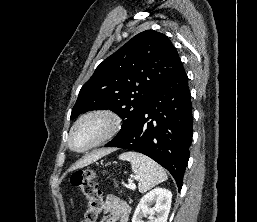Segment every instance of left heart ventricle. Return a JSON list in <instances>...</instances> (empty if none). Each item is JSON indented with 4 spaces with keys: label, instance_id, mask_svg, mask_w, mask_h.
<instances>
[{
    "label": "left heart ventricle",
    "instance_id": "1",
    "mask_svg": "<svg viewBox=\"0 0 257 222\" xmlns=\"http://www.w3.org/2000/svg\"><path fill=\"white\" fill-rule=\"evenodd\" d=\"M105 122L93 118L81 123L74 131L72 145L77 150H82L95 143L105 131Z\"/></svg>",
    "mask_w": 257,
    "mask_h": 222
}]
</instances>
